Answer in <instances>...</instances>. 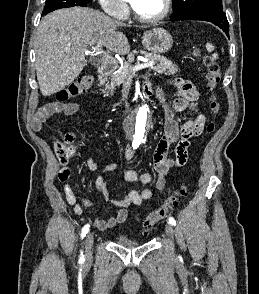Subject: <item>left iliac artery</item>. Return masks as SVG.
Segmentation results:
<instances>
[{"label": "left iliac artery", "mask_w": 259, "mask_h": 294, "mask_svg": "<svg viewBox=\"0 0 259 294\" xmlns=\"http://www.w3.org/2000/svg\"><path fill=\"white\" fill-rule=\"evenodd\" d=\"M169 223L172 225V226H175L176 225V221L173 217H170L169 218Z\"/></svg>", "instance_id": "left-iliac-artery-1"}]
</instances>
